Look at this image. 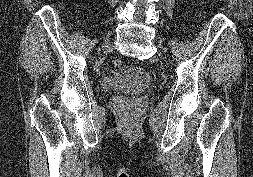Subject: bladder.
<instances>
[{"instance_id":"31cf9c89","label":"bladder","mask_w":253,"mask_h":177,"mask_svg":"<svg viewBox=\"0 0 253 177\" xmlns=\"http://www.w3.org/2000/svg\"><path fill=\"white\" fill-rule=\"evenodd\" d=\"M151 85V78L141 67L128 65L120 67L107 78L103 79L101 87L105 92L114 90H142Z\"/></svg>"}]
</instances>
